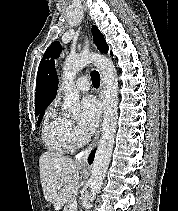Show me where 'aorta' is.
<instances>
[{
	"label": "aorta",
	"mask_w": 178,
	"mask_h": 211,
	"mask_svg": "<svg viewBox=\"0 0 178 211\" xmlns=\"http://www.w3.org/2000/svg\"><path fill=\"white\" fill-rule=\"evenodd\" d=\"M97 63L103 82V128L98 148L91 168L90 196L88 207L99 192L107 168L110 163L114 146L118 119V79L113 62L100 54L81 52L66 58L63 66V86L65 91L63 108L66 112L75 115L80 111L79 93L74 87L77 72L90 63Z\"/></svg>",
	"instance_id": "obj_1"
}]
</instances>
